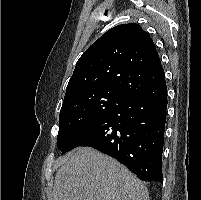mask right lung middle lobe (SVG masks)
<instances>
[{"label": "right lung middle lobe", "instance_id": "obj_1", "mask_svg": "<svg viewBox=\"0 0 201 200\" xmlns=\"http://www.w3.org/2000/svg\"><path fill=\"white\" fill-rule=\"evenodd\" d=\"M128 97L116 91L95 90L65 99L59 115L57 135V146L62 154L81 131L120 106Z\"/></svg>", "mask_w": 201, "mask_h": 200}]
</instances>
